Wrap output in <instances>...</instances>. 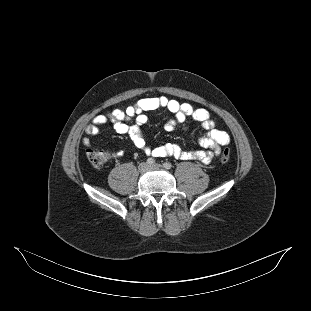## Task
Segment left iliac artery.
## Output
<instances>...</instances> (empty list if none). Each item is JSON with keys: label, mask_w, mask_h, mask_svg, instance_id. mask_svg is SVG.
I'll return each mask as SVG.
<instances>
[{"label": "left iliac artery", "mask_w": 311, "mask_h": 311, "mask_svg": "<svg viewBox=\"0 0 311 311\" xmlns=\"http://www.w3.org/2000/svg\"><path fill=\"white\" fill-rule=\"evenodd\" d=\"M163 166L165 169H171L172 168V164L169 162L164 163Z\"/></svg>", "instance_id": "1"}]
</instances>
